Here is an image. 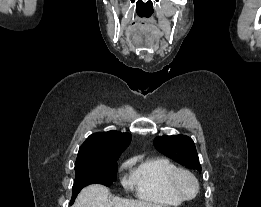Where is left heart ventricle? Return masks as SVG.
Listing matches in <instances>:
<instances>
[{"label": "left heart ventricle", "mask_w": 261, "mask_h": 207, "mask_svg": "<svg viewBox=\"0 0 261 207\" xmlns=\"http://www.w3.org/2000/svg\"><path fill=\"white\" fill-rule=\"evenodd\" d=\"M181 188L187 195H192L195 190V186H194L193 182L189 178H186V177H183L181 179Z\"/></svg>", "instance_id": "b2bd125f"}]
</instances>
